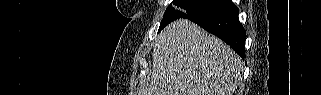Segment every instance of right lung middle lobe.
I'll list each match as a JSON object with an SVG mask.
<instances>
[{
    "instance_id": "1",
    "label": "right lung middle lobe",
    "mask_w": 321,
    "mask_h": 95,
    "mask_svg": "<svg viewBox=\"0 0 321 95\" xmlns=\"http://www.w3.org/2000/svg\"><path fill=\"white\" fill-rule=\"evenodd\" d=\"M212 1L213 0H173L164 13L159 31L170 22L178 18H184L187 15L200 10Z\"/></svg>"
}]
</instances>
